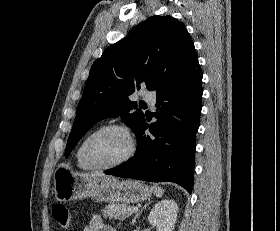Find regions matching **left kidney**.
I'll return each instance as SVG.
<instances>
[{
  "instance_id": "1",
  "label": "left kidney",
  "mask_w": 280,
  "mask_h": 231,
  "mask_svg": "<svg viewBox=\"0 0 280 231\" xmlns=\"http://www.w3.org/2000/svg\"><path fill=\"white\" fill-rule=\"evenodd\" d=\"M179 205L174 199H161L155 203L148 215V221L157 231H173L177 221Z\"/></svg>"
}]
</instances>
